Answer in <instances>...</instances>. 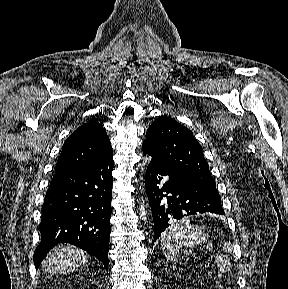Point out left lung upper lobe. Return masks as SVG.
Masks as SVG:
<instances>
[{
  "label": "left lung upper lobe",
  "mask_w": 288,
  "mask_h": 289,
  "mask_svg": "<svg viewBox=\"0 0 288 289\" xmlns=\"http://www.w3.org/2000/svg\"><path fill=\"white\" fill-rule=\"evenodd\" d=\"M143 146L171 172L217 191L201 145L189 129L174 119L158 117L148 128Z\"/></svg>",
  "instance_id": "left-lung-upper-lobe-1"
}]
</instances>
